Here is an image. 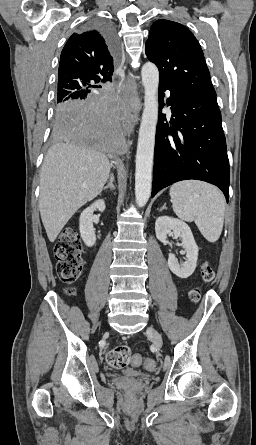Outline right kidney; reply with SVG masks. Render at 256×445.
<instances>
[{
	"label": "right kidney",
	"mask_w": 256,
	"mask_h": 445,
	"mask_svg": "<svg viewBox=\"0 0 256 445\" xmlns=\"http://www.w3.org/2000/svg\"><path fill=\"white\" fill-rule=\"evenodd\" d=\"M103 212L105 210L104 200H97L91 206L86 208L80 215L79 230L81 238L88 247L96 243V235L93 227V212Z\"/></svg>",
	"instance_id": "obj_1"
}]
</instances>
